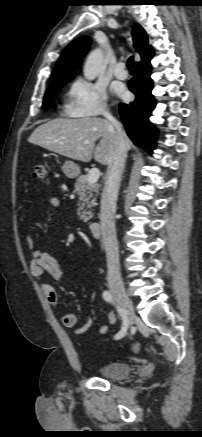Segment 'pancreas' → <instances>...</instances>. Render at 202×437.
<instances>
[{
    "instance_id": "obj_1",
    "label": "pancreas",
    "mask_w": 202,
    "mask_h": 437,
    "mask_svg": "<svg viewBox=\"0 0 202 437\" xmlns=\"http://www.w3.org/2000/svg\"><path fill=\"white\" fill-rule=\"evenodd\" d=\"M99 188L98 183L87 182V175L77 178L74 191L79 196L77 215L80 220L88 222L92 218L93 214L90 209L97 205L96 196L99 194Z\"/></svg>"
}]
</instances>
